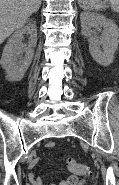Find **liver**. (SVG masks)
Here are the masks:
<instances>
[{
  "label": "liver",
  "instance_id": "obj_1",
  "mask_svg": "<svg viewBox=\"0 0 119 185\" xmlns=\"http://www.w3.org/2000/svg\"><path fill=\"white\" fill-rule=\"evenodd\" d=\"M42 0H0V44L22 28L39 10Z\"/></svg>",
  "mask_w": 119,
  "mask_h": 185
}]
</instances>
